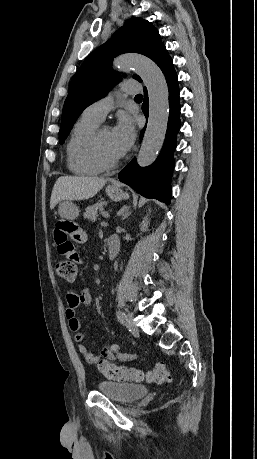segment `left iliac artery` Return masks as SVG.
<instances>
[{
  "label": "left iliac artery",
  "instance_id": "obj_1",
  "mask_svg": "<svg viewBox=\"0 0 257 459\" xmlns=\"http://www.w3.org/2000/svg\"><path fill=\"white\" fill-rule=\"evenodd\" d=\"M117 318H118L119 322L122 325H124V326H128L129 325V321L127 320V317H126L124 312L118 311L117 312Z\"/></svg>",
  "mask_w": 257,
  "mask_h": 459
}]
</instances>
